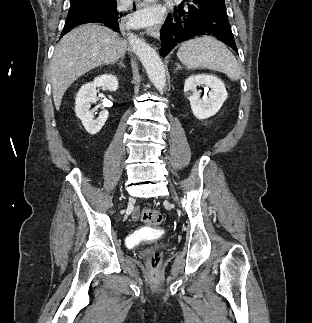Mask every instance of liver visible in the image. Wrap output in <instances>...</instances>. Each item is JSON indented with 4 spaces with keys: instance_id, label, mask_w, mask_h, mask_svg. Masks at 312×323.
Instances as JSON below:
<instances>
[{
    "instance_id": "1",
    "label": "liver",
    "mask_w": 312,
    "mask_h": 323,
    "mask_svg": "<svg viewBox=\"0 0 312 323\" xmlns=\"http://www.w3.org/2000/svg\"><path fill=\"white\" fill-rule=\"evenodd\" d=\"M126 50V42L116 32L99 24H83L63 36L50 64L56 110H60L62 98L75 80L97 66L125 58Z\"/></svg>"
}]
</instances>
